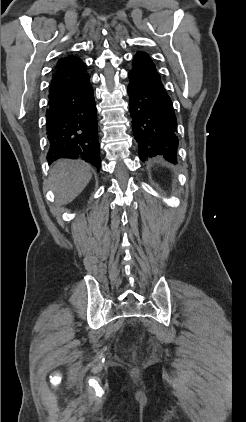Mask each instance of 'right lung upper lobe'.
Returning a JSON list of instances; mask_svg holds the SVG:
<instances>
[{"label": "right lung upper lobe", "instance_id": "obj_1", "mask_svg": "<svg viewBox=\"0 0 246 422\" xmlns=\"http://www.w3.org/2000/svg\"><path fill=\"white\" fill-rule=\"evenodd\" d=\"M87 74L85 63L77 56L61 58L55 65L49 93L75 83Z\"/></svg>", "mask_w": 246, "mask_h": 422}]
</instances>
